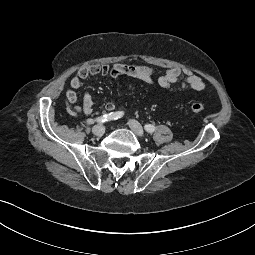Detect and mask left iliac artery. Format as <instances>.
I'll return each mask as SVG.
<instances>
[{
    "label": "left iliac artery",
    "instance_id": "left-iliac-artery-1",
    "mask_svg": "<svg viewBox=\"0 0 255 255\" xmlns=\"http://www.w3.org/2000/svg\"><path fill=\"white\" fill-rule=\"evenodd\" d=\"M144 128H145V130H146L147 132H149V133H153V132L155 131V127H154L153 125H151V124H146V125L144 126Z\"/></svg>",
    "mask_w": 255,
    "mask_h": 255
}]
</instances>
